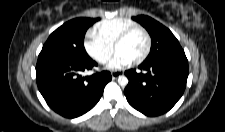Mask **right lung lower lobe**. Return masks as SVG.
<instances>
[{"mask_svg":"<svg viewBox=\"0 0 225 132\" xmlns=\"http://www.w3.org/2000/svg\"><path fill=\"white\" fill-rule=\"evenodd\" d=\"M97 63L91 58L76 60L57 55H42L36 65V81L47 104L58 114L75 118L88 112L100 100L111 80L108 71L82 77Z\"/></svg>","mask_w":225,"mask_h":132,"instance_id":"right-lung-lower-lobe-1","label":"right lung lower lobe"}]
</instances>
